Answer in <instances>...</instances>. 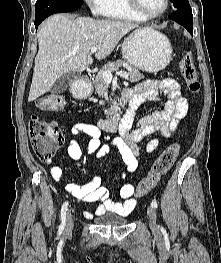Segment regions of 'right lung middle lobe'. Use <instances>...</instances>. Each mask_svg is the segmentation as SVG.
<instances>
[{
    "instance_id": "1",
    "label": "right lung middle lobe",
    "mask_w": 221,
    "mask_h": 263,
    "mask_svg": "<svg viewBox=\"0 0 221 263\" xmlns=\"http://www.w3.org/2000/svg\"><path fill=\"white\" fill-rule=\"evenodd\" d=\"M83 0H37L36 16H41L57 10L80 8Z\"/></svg>"
}]
</instances>
